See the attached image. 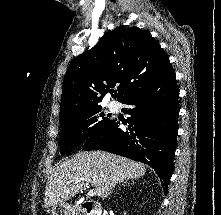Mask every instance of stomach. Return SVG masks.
<instances>
[{
	"instance_id": "obj_1",
	"label": "stomach",
	"mask_w": 221,
	"mask_h": 215,
	"mask_svg": "<svg viewBox=\"0 0 221 215\" xmlns=\"http://www.w3.org/2000/svg\"><path fill=\"white\" fill-rule=\"evenodd\" d=\"M74 208L67 204L61 203L53 206L51 209V215H74Z\"/></svg>"
}]
</instances>
